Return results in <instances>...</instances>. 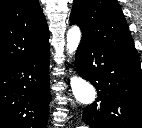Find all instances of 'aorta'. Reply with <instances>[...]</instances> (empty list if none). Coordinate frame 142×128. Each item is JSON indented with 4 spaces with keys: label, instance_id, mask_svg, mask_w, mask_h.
I'll list each match as a JSON object with an SVG mask.
<instances>
[{
    "label": "aorta",
    "instance_id": "obj_1",
    "mask_svg": "<svg viewBox=\"0 0 142 128\" xmlns=\"http://www.w3.org/2000/svg\"><path fill=\"white\" fill-rule=\"evenodd\" d=\"M67 53L73 55L81 41V31L78 26H72L66 35ZM70 85L75 99L84 104L90 105L96 99V91L94 87L84 79L73 76L70 79Z\"/></svg>",
    "mask_w": 142,
    "mask_h": 128
}]
</instances>
